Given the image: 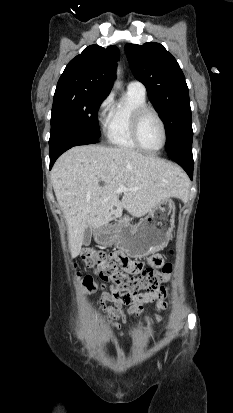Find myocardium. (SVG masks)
<instances>
[{
	"label": "myocardium",
	"mask_w": 233,
	"mask_h": 413,
	"mask_svg": "<svg viewBox=\"0 0 233 413\" xmlns=\"http://www.w3.org/2000/svg\"><path fill=\"white\" fill-rule=\"evenodd\" d=\"M147 114H153L156 119L158 120V122L160 123L161 126V130H162V142L161 145L156 148V149H148L146 148L140 139V126H141V122L143 120V118L147 115ZM130 132H131V137L134 141V143L136 144V146L147 153H151V154H156L159 153L161 150L164 149L166 143H167V129H166V125L165 122L163 120V118L161 117V115L158 113V111L148 105H144L141 106L139 108H137L133 115H132V119H131V125H130Z\"/></svg>",
	"instance_id": "obj_1"
}]
</instances>
